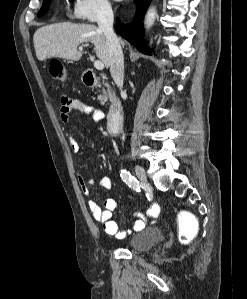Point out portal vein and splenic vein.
Listing matches in <instances>:
<instances>
[{
    "instance_id": "1",
    "label": "portal vein and splenic vein",
    "mask_w": 247,
    "mask_h": 299,
    "mask_svg": "<svg viewBox=\"0 0 247 299\" xmlns=\"http://www.w3.org/2000/svg\"><path fill=\"white\" fill-rule=\"evenodd\" d=\"M80 50H82L83 48L82 47H79ZM94 67L97 69V70H103L104 69V63L100 60H96L94 62Z\"/></svg>"
}]
</instances>
